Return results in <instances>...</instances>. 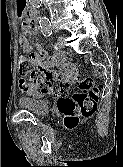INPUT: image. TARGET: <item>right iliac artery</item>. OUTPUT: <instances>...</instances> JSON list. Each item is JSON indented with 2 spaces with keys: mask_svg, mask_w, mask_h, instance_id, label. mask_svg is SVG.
<instances>
[{
  "mask_svg": "<svg viewBox=\"0 0 123 167\" xmlns=\"http://www.w3.org/2000/svg\"><path fill=\"white\" fill-rule=\"evenodd\" d=\"M47 32H48V30L46 29V30L43 31V34L45 35Z\"/></svg>",
  "mask_w": 123,
  "mask_h": 167,
  "instance_id": "82829eb1",
  "label": "right iliac artery"
}]
</instances>
